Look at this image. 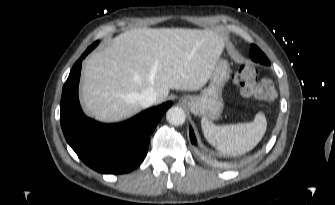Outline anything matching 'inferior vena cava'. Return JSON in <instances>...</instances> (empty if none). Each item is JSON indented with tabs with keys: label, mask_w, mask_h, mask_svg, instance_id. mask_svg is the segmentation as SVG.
<instances>
[{
	"label": "inferior vena cava",
	"mask_w": 335,
	"mask_h": 205,
	"mask_svg": "<svg viewBox=\"0 0 335 205\" xmlns=\"http://www.w3.org/2000/svg\"><path fill=\"white\" fill-rule=\"evenodd\" d=\"M157 99V92L154 88H147L142 93L138 95V103L142 107H149L155 103Z\"/></svg>",
	"instance_id": "inferior-vena-cava-1"
}]
</instances>
